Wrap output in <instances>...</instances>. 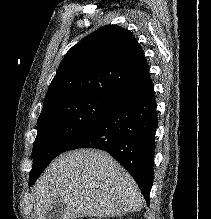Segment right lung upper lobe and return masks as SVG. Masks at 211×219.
<instances>
[{
  "mask_svg": "<svg viewBox=\"0 0 211 219\" xmlns=\"http://www.w3.org/2000/svg\"><path fill=\"white\" fill-rule=\"evenodd\" d=\"M151 83L143 50L133 34L117 25L104 26L67 52L42 111L81 97H99L117 104Z\"/></svg>",
  "mask_w": 211,
  "mask_h": 219,
  "instance_id": "1",
  "label": "right lung upper lobe"
}]
</instances>
